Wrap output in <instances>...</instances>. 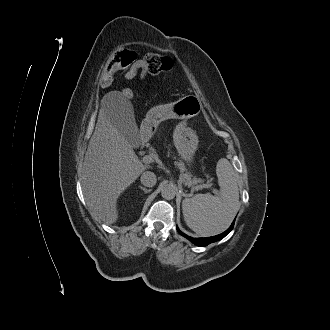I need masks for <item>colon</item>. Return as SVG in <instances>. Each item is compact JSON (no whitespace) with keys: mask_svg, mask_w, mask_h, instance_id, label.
I'll return each instance as SVG.
<instances>
[{"mask_svg":"<svg viewBox=\"0 0 330 330\" xmlns=\"http://www.w3.org/2000/svg\"><path fill=\"white\" fill-rule=\"evenodd\" d=\"M136 54L130 49H122L115 52L106 62L102 73L101 80L104 83H110L113 80V75L122 69L130 67L136 60ZM144 62L147 71L150 74H158L161 72L169 71L173 66L172 59L163 54L149 53L144 57ZM122 94L130 98L132 91L129 89L122 90Z\"/></svg>","mask_w":330,"mask_h":330,"instance_id":"1","label":"colon"}]
</instances>
